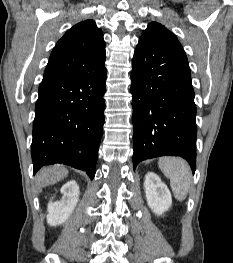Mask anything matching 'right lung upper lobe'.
Here are the masks:
<instances>
[{
    "instance_id": "obj_1",
    "label": "right lung upper lobe",
    "mask_w": 233,
    "mask_h": 263,
    "mask_svg": "<svg viewBox=\"0 0 233 263\" xmlns=\"http://www.w3.org/2000/svg\"><path fill=\"white\" fill-rule=\"evenodd\" d=\"M105 60L102 31L93 20L69 29L52 50L43 80L85 76Z\"/></svg>"
}]
</instances>
